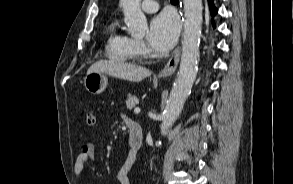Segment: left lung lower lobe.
Returning a JSON list of instances; mask_svg holds the SVG:
<instances>
[{
  "label": "left lung lower lobe",
  "instance_id": "left-lung-lower-lobe-1",
  "mask_svg": "<svg viewBox=\"0 0 293 184\" xmlns=\"http://www.w3.org/2000/svg\"><path fill=\"white\" fill-rule=\"evenodd\" d=\"M208 3H209V8H210V12H211V15L214 16L216 13H217V8L214 6L213 4V0H208ZM214 27H215V24L214 22H212Z\"/></svg>",
  "mask_w": 293,
  "mask_h": 184
}]
</instances>
